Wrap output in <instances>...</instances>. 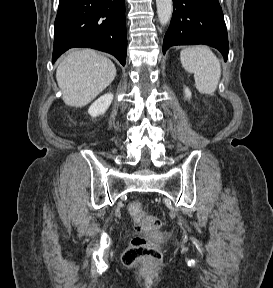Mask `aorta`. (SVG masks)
I'll list each match as a JSON object with an SVG mask.
<instances>
[{"label": "aorta", "instance_id": "aorta-1", "mask_svg": "<svg viewBox=\"0 0 273 288\" xmlns=\"http://www.w3.org/2000/svg\"><path fill=\"white\" fill-rule=\"evenodd\" d=\"M158 19L161 25H166L172 16V0H156Z\"/></svg>", "mask_w": 273, "mask_h": 288}]
</instances>
